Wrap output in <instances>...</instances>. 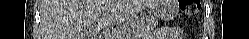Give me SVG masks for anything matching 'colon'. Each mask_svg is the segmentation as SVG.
<instances>
[{"mask_svg": "<svg viewBox=\"0 0 249 39\" xmlns=\"http://www.w3.org/2000/svg\"><path fill=\"white\" fill-rule=\"evenodd\" d=\"M181 11L187 16H194L199 12L200 2L198 0H181Z\"/></svg>", "mask_w": 249, "mask_h": 39, "instance_id": "obj_1", "label": "colon"}]
</instances>
